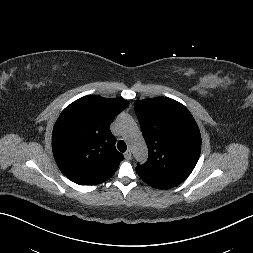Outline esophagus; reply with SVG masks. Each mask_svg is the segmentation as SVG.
Masks as SVG:
<instances>
[{"label":"esophagus","mask_w":253,"mask_h":253,"mask_svg":"<svg viewBox=\"0 0 253 253\" xmlns=\"http://www.w3.org/2000/svg\"><path fill=\"white\" fill-rule=\"evenodd\" d=\"M124 157H125V159L130 160L131 157H132L131 151H130V150L126 151V152L124 153Z\"/></svg>","instance_id":"esophagus-1"}]
</instances>
